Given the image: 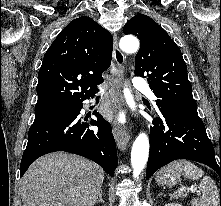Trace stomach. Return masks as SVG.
I'll use <instances>...</instances> for the list:
<instances>
[{
	"mask_svg": "<svg viewBox=\"0 0 221 206\" xmlns=\"http://www.w3.org/2000/svg\"><path fill=\"white\" fill-rule=\"evenodd\" d=\"M181 172L170 166L161 169L156 175V182L164 187H172L180 181Z\"/></svg>",
	"mask_w": 221,
	"mask_h": 206,
	"instance_id": "obj_1",
	"label": "stomach"
}]
</instances>
